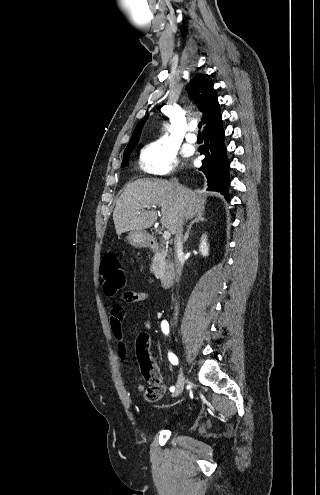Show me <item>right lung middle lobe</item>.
Listing matches in <instances>:
<instances>
[{
  "label": "right lung middle lobe",
  "instance_id": "obj_1",
  "mask_svg": "<svg viewBox=\"0 0 320 495\" xmlns=\"http://www.w3.org/2000/svg\"><path fill=\"white\" fill-rule=\"evenodd\" d=\"M133 149L134 148H130V149L124 151L123 161H122V167L128 165V159H129V156H130V154H131V152H132Z\"/></svg>",
  "mask_w": 320,
  "mask_h": 495
}]
</instances>
